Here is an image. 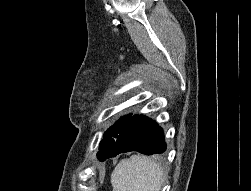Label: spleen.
Masks as SVG:
<instances>
[{
  "instance_id": "spleen-1",
  "label": "spleen",
  "mask_w": 251,
  "mask_h": 191,
  "mask_svg": "<svg viewBox=\"0 0 251 191\" xmlns=\"http://www.w3.org/2000/svg\"><path fill=\"white\" fill-rule=\"evenodd\" d=\"M165 179L161 165L147 155H130L111 173L113 191H160Z\"/></svg>"
}]
</instances>
